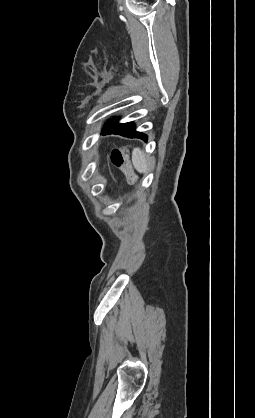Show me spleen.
<instances>
[{"label":"spleen","instance_id":"obj_1","mask_svg":"<svg viewBox=\"0 0 255 418\" xmlns=\"http://www.w3.org/2000/svg\"><path fill=\"white\" fill-rule=\"evenodd\" d=\"M132 164L139 173H145L148 169V160L139 148L132 151Z\"/></svg>","mask_w":255,"mask_h":418}]
</instances>
